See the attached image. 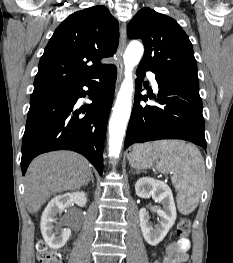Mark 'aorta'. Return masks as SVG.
<instances>
[{
  "instance_id": "obj_1",
  "label": "aorta",
  "mask_w": 233,
  "mask_h": 263,
  "mask_svg": "<svg viewBox=\"0 0 233 263\" xmlns=\"http://www.w3.org/2000/svg\"><path fill=\"white\" fill-rule=\"evenodd\" d=\"M144 49L140 42L131 41L124 55L125 78L121 84L109 123V155L120 154L126 126L131 112L133 94V68L140 62Z\"/></svg>"
}]
</instances>
